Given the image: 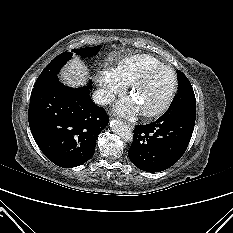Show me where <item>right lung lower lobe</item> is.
I'll return each instance as SVG.
<instances>
[{
	"instance_id": "obj_1",
	"label": "right lung lower lobe",
	"mask_w": 233,
	"mask_h": 233,
	"mask_svg": "<svg viewBox=\"0 0 233 233\" xmlns=\"http://www.w3.org/2000/svg\"><path fill=\"white\" fill-rule=\"evenodd\" d=\"M91 84L73 89L58 77L32 90L29 125L43 154L54 164L72 168L88 161L108 116L89 95Z\"/></svg>"
}]
</instances>
